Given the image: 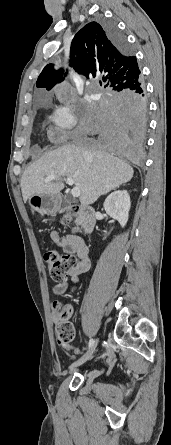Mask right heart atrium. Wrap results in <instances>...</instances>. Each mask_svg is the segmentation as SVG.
<instances>
[{
  "label": "right heart atrium",
  "mask_w": 171,
  "mask_h": 445,
  "mask_svg": "<svg viewBox=\"0 0 171 445\" xmlns=\"http://www.w3.org/2000/svg\"><path fill=\"white\" fill-rule=\"evenodd\" d=\"M51 138L54 142L66 140L74 131L77 115L69 102H63L51 114Z\"/></svg>",
  "instance_id": "right-heart-atrium-1"
}]
</instances>
